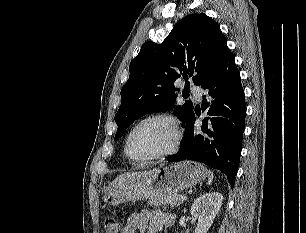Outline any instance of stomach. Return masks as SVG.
<instances>
[{
    "label": "stomach",
    "mask_w": 306,
    "mask_h": 233,
    "mask_svg": "<svg viewBox=\"0 0 306 233\" xmlns=\"http://www.w3.org/2000/svg\"><path fill=\"white\" fill-rule=\"evenodd\" d=\"M207 173V169L197 162H176L109 184L104 191V200L115 206L127 201L151 200L176 194L200 183Z\"/></svg>",
    "instance_id": "stomach-1"
}]
</instances>
